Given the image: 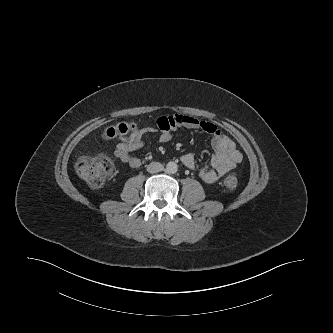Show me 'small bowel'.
<instances>
[{
    "label": "small bowel",
    "instance_id": "c3829d8e",
    "mask_svg": "<svg viewBox=\"0 0 333 333\" xmlns=\"http://www.w3.org/2000/svg\"><path fill=\"white\" fill-rule=\"evenodd\" d=\"M157 128L148 127L139 129L128 137L119 141L115 147V157L130 167L137 168L142 161L132 153L141 149L145 144L147 134L158 133V141L167 143L171 140V132L179 126L188 129L202 130L211 135V145L213 154L210 164L200 169L199 176L207 184L216 183L223 175L234 170L242 161V154L238 150L235 142L224 135L222 131L213 123L199 120L195 117L176 115L162 116L157 119ZM183 165L187 168H194L195 159L191 153H186L181 157Z\"/></svg>",
    "mask_w": 333,
    "mask_h": 333
}]
</instances>
